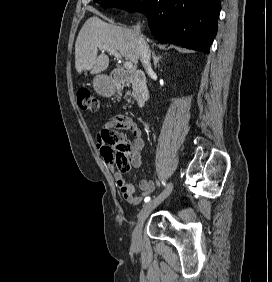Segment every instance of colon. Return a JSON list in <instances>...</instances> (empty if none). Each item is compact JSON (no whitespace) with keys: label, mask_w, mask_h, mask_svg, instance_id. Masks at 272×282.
Returning a JSON list of instances; mask_svg holds the SVG:
<instances>
[{"label":"colon","mask_w":272,"mask_h":282,"mask_svg":"<svg viewBox=\"0 0 272 282\" xmlns=\"http://www.w3.org/2000/svg\"><path fill=\"white\" fill-rule=\"evenodd\" d=\"M77 104L82 110L97 111L100 108L98 99L88 88H81L77 92ZM99 142L102 144L100 152L104 160L112 165L120 173H125L130 169L131 146L123 136L110 129L103 128L99 132Z\"/></svg>","instance_id":"obj_1"}]
</instances>
